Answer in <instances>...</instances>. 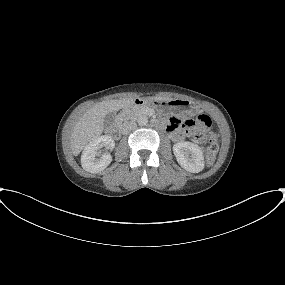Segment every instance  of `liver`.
Here are the masks:
<instances>
[{
    "label": "liver",
    "mask_w": 285,
    "mask_h": 285,
    "mask_svg": "<svg viewBox=\"0 0 285 285\" xmlns=\"http://www.w3.org/2000/svg\"><path fill=\"white\" fill-rule=\"evenodd\" d=\"M133 104V99L108 100L95 104L76 122L70 137L72 152L77 156L88 142L99 137L104 129V117Z\"/></svg>",
    "instance_id": "obj_1"
}]
</instances>
